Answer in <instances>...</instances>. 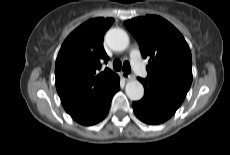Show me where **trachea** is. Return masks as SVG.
I'll return each instance as SVG.
<instances>
[{
	"instance_id": "1",
	"label": "trachea",
	"mask_w": 230,
	"mask_h": 155,
	"mask_svg": "<svg viewBox=\"0 0 230 155\" xmlns=\"http://www.w3.org/2000/svg\"><path fill=\"white\" fill-rule=\"evenodd\" d=\"M113 68L116 71H120L122 69L127 74L131 73V67H130V63L128 61H125L122 64L120 60L116 59L113 62Z\"/></svg>"
}]
</instances>
